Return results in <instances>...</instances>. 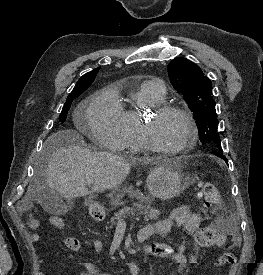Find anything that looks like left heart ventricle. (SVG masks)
Masks as SVG:
<instances>
[{
	"label": "left heart ventricle",
	"instance_id": "left-heart-ventricle-1",
	"mask_svg": "<svg viewBox=\"0 0 263 275\" xmlns=\"http://www.w3.org/2000/svg\"><path fill=\"white\" fill-rule=\"evenodd\" d=\"M150 133L156 145L164 149L180 147L189 134L187 121L176 114L150 119Z\"/></svg>",
	"mask_w": 263,
	"mask_h": 275
}]
</instances>
